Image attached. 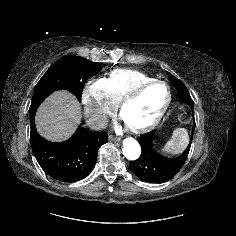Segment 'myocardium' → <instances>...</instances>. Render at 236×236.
Returning <instances> with one entry per match:
<instances>
[{
  "instance_id": "myocardium-1",
  "label": "myocardium",
  "mask_w": 236,
  "mask_h": 236,
  "mask_svg": "<svg viewBox=\"0 0 236 236\" xmlns=\"http://www.w3.org/2000/svg\"><path fill=\"white\" fill-rule=\"evenodd\" d=\"M155 84H162L167 88V91H168L167 101L162 106V108L160 109L158 114L155 116V118L152 121H150L149 123L141 125V126H134V125H131V124H128L125 122L127 129L133 133L140 134V133L148 132V131L152 130L153 128H155L159 124V122L162 120L163 116L167 112V110L170 107L171 102H172L173 94H172L171 86L164 80L151 79V80L145 81V82L140 83L137 86H135L117 104V109H118L119 115L122 117L124 108L127 105H129L130 103H132L133 101H135L136 99H138V97L143 93L144 90H146L148 87L155 85Z\"/></svg>"
}]
</instances>
